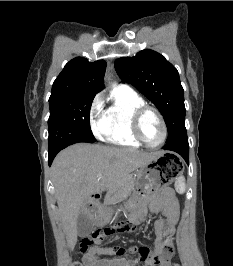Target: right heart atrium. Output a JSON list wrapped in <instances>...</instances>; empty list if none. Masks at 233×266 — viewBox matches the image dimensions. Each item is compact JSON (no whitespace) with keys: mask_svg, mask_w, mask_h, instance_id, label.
<instances>
[{"mask_svg":"<svg viewBox=\"0 0 233 266\" xmlns=\"http://www.w3.org/2000/svg\"><path fill=\"white\" fill-rule=\"evenodd\" d=\"M89 122L93 134L96 137H103L106 131V124L103 113V99L101 95H97L91 104L89 111Z\"/></svg>","mask_w":233,"mask_h":266,"instance_id":"d8ad5b80","label":"right heart atrium"}]
</instances>
